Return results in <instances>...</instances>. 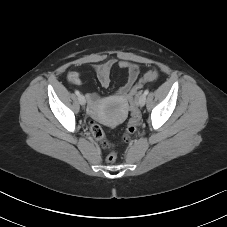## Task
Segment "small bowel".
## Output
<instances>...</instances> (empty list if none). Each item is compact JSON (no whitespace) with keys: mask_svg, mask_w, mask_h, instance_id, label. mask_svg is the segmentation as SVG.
I'll return each instance as SVG.
<instances>
[{"mask_svg":"<svg viewBox=\"0 0 227 227\" xmlns=\"http://www.w3.org/2000/svg\"><path fill=\"white\" fill-rule=\"evenodd\" d=\"M116 65L120 69L125 70L127 72L126 82L116 92L119 98L124 99L132 90L138 79L140 69L137 64L126 60L117 61L116 59H109L102 63L94 64L92 66V69L95 72L97 80L100 83V85L103 88H107L110 86L111 83L110 78L111 71ZM67 79L70 83L74 85H80L82 82L80 74L76 71H70L67 75ZM88 100L90 109L95 110L99 104L100 100L99 96L96 93H91L88 96Z\"/></svg>","mask_w":227,"mask_h":227,"instance_id":"1","label":"small bowel"}]
</instances>
